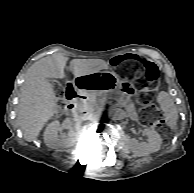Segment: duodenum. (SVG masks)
<instances>
[{"instance_id": "1", "label": "duodenum", "mask_w": 194, "mask_h": 193, "mask_svg": "<svg viewBox=\"0 0 194 193\" xmlns=\"http://www.w3.org/2000/svg\"><path fill=\"white\" fill-rule=\"evenodd\" d=\"M67 97L69 99L68 113L73 116L83 115L87 104V97L72 88V86L69 87Z\"/></svg>"}]
</instances>
